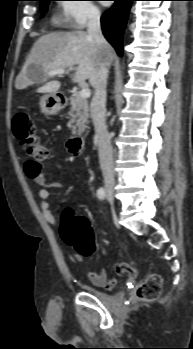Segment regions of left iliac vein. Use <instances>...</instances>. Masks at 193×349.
I'll return each instance as SVG.
<instances>
[{"mask_svg":"<svg viewBox=\"0 0 193 349\" xmlns=\"http://www.w3.org/2000/svg\"><path fill=\"white\" fill-rule=\"evenodd\" d=\"M107 199H108L109 201H112V200H113V195H112V194H108V195H107Z\"/></svg>","mask_w":193,"mask_h":349,"instance_id":"left-iliac-vein-1","label":"left iliac vein"}]
</instances>
